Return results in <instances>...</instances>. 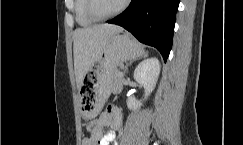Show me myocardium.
<instances>
[{
    "mask_svg": "<svg viewBox=\"0 0 243 145\" xmlns=\"http://www.w3.org/2000/svg\"><path fill=\"white\" fill-rule=\"evenodd\" d=\"M131 0H124L122 5L112 13L102 15L96 9V0H87L86 11L88 16L95 21H104L121 14L130 4Z\"/></svg>",
    "mask_w": 243,
    "mask_h": 145,
    "instance_id": "myocardium-1",
    "label": "myocardium"
}]
</instances>
